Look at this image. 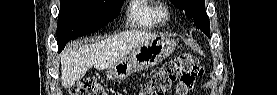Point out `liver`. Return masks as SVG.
<instances>
[{
    "label": "liver",
    "instance_id": "1",
    "mask_svg": "<svg viewBox=\"0 0 277 95\" xmlns=\"http://www.w3.org/2000/svg\"><path fill=\"white\" fill-rule=\"evenodd\" d=\"M154 37V34L144 31H127L93 44L69 46L61 55L62 86L70 87L92 67L97 70L112 67L140 43Z\"/></svg>",
    "mask_w": 277,
    "mask_h": 95
}]
</instances>
